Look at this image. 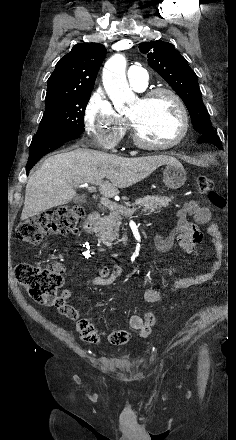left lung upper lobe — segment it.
Returning <instances> with one entry per match:
<instances>
[{"label":"left lung upper lobe","mask_w":236,"mask_h":440,"mask_svg":"<svg viewBox=\"0 0 236 440\" xmlns=\"http://www.w3.org/2000/svg\"><path fill=\"white\" fill-rule=\"evenodd\" d=\"M139 50L147 54L150 67L181 97L190 113L195 131L200 134L214 131L202 101L197 76L174 46L157 40L141 43Z\"/></svg>","instance_id":"obj_1"}]
</instances>
